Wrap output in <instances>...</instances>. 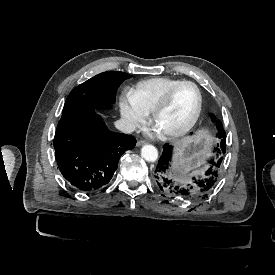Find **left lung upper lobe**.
<instances>
[{
  "label": "left lung upper lobe",
  "instance_id": "1",
  "mask_svg": "<svg viewBox=\"0 0 275 275\" xmlns=\"http://www.w3.org/2000/svg\"><path fill=\"white\" fill-rule=\"evenodd\" d=\"M211 118L212 120H214V116H211ZM217 129L219 131L217 136L221 139L220 148H221V151L225 153V132L223 130L221 122L217 123Z\"/></svg>",
  "mask_w": 275,
  "mask_h": 275
}]
</instances>
